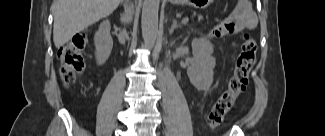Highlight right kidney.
Returning a JSON list of instances; mask_svg holds the SVG:
<instances>
[{
	"label": "right kidney",
	"instance_id": "ca27d5eb",
	"mask_svg": "<svg viewBox=\"0 0 325 136\" xmlns=\"http://www.w3.org/2000/svg\"><path fill=\"white\" fill-rule=\"evenodd\" d=\"M110 29L109 20H105L100 24L98 31L95 33V56L98 65L104 64L111 54L113 40L110 35Z\"/></svg>",
	"mask_w": 325,
	"mask_h": 136
}]
</instances>
